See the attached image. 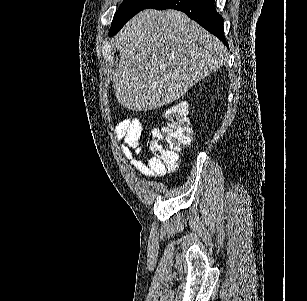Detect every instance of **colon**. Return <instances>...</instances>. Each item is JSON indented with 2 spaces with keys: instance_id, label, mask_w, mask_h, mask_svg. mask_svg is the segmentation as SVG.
I'll return each instance as SVG.
<instances>
[{
  "instance_id": "5ec220e1",
  "label": "colon",
  "mask_w": 307,
  "mask_h": 301,
  "mask_svg": "<svg viewBox=\"0 0 307 301\" xmlns=\"http://www.w3.org/2000/svg\"><path fill=\"white\" fill-rule=\"evenodd\" d=\"M163 116L165 124L150 131L147 146L166 170L174 171L179 164V152L188 148L193 141L194 128L185 101L179 100L169 105Z\"/></svg>"
}]
</instances>
